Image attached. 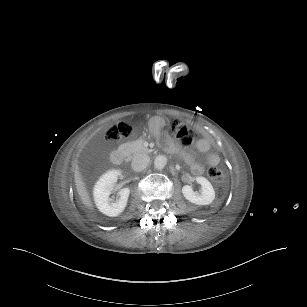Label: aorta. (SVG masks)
<instances>
[{
    "instance_id": "762f6f07",
    "label": "aorta",
    "mask_w": 307,
    "mask_h": 307,
    "mask_svg": "<svg viewBox=\"0 0 307 307\" xmlns=\"http://www.w3.org/2000/svg\"><path fill=\"white\" fill-rule=\"evenodd\" d=\"M167 164V159L164 156H157L154 160V168L156 170H163Z\"/></svg>"
}]
</instances>
